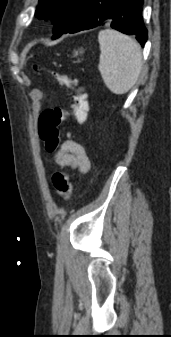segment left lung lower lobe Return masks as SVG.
I'll return each instance as SVG.
<instances>
[{
	"label": "left lung lower lobe",
	"instance_id": "obj_1",
	"mask_svg": "<svg viewBox=\"0 0 171 337\" xmlns=\"http://www.w3.org/2000/svg\"><path fill=\"white\" fill-rule=\"evenodd\" d=\"M142 5L143 0H85L76 23L67 33L110 25L125 34H134L144 46L148 36Z\"/></svg>",
	"mask_w": 171,
	"mask_h": 337
}]
</instances>
